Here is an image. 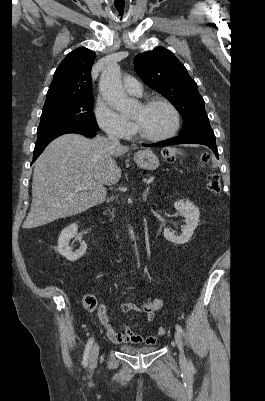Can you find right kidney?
<instances>
[{"label": "right kidney", "instance_id": "obj_1", "mask_svg": "<svg viewBox=\"0 0 265 401\" xmlns=\"http://www.w3.org/2000/svg\"><path fill=\"white\" fill-rule=\"evenodd\" d=\"M75 235H78V225H69L66 229H63L60 233L59 241H58V253L66 257L68 261H77L80 257H83L84 253H86L87 245L86 243H81L79 249L77 251H71V247H69L70 239H73Z\"/></svg>", "mask_w": 265, "mask_h": 401}]
</instances>
